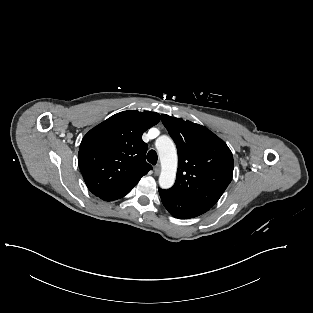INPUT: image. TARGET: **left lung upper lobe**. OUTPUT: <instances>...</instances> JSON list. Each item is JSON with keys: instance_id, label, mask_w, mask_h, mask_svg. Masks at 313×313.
<instances>
[{"instance_id": "left-lung-upper-lobe-1", "label": "left lung upper lobe", "mask_w": 313, "mask_h": 313, "mask_svg": "<svg viewBox=\"0 0 313 313\" xmlns=\"http://www.w3.org/2000/svg\"><path fill=\"white\" fill-rule=\"evenodd\" d=\"M161 119L178 150L177 177L169 191L211 208L233 176L230 149L204 126L165 114Z\"/></svg>"}]
</instances>
